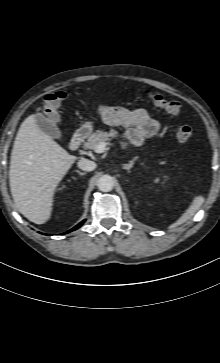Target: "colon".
<instances>
[{"mask_svg":"<svg viewBox=\"0 0 220 363\" xmlns=\"http://www.w3.org/2000/svg\"><path fill=\"white\" fill-rule=\"evenodd\" d=\"M151 102L158 108L169 114L177 115L181 111V104L177 100L168 99L152 91L145 92ZM65 95L62 92L48 94L43 102L42 111L46 118L52 122L59 118V107L64 100ZM176 136L181 142L188 141L192 136V129L187 124H180L176 129Z\"/></svg>","mask_w":220,"mask_h":363,"instance_id":"obj_1","label":"colon"}]
</instances>
